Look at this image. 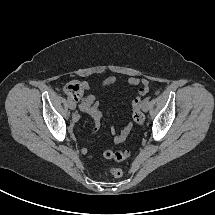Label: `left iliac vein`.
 Segmentation results:
<instances>
[{"label": "left iliac vein", "instance_id": "obj_1", "mask_svg": "<svg viewBox=\"0 0 215 215\" xmlns=\"http://www.w3.org/2000/svg\"><path fill=\"white\" fill-rule=\"evenodd\" d=\"M149 108H150V103H149V101H147V102L143 105L142 110H143L144 112H147V111L149 110Z\"/></svg>", "mask_w": 215, "mask_h": 215}]
</instances>
